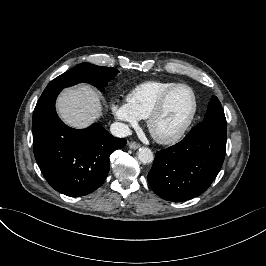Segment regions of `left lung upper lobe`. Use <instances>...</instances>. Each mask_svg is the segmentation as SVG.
<instances>
[{
  "label": "left lung upper lobe",
  "mask_w": 266,
  "mask_h": 266,
  "mask_svg": "<svg viewBox=\"0 0 266 266\" xmlns=\"http://www.w3.org/2000/svg\"><path fill=\"white\" fill-rule=\"evenodd\" d=\"M226 125L222 105L216 96H212L204 121L193 127L191 131L196 129H209L226 133Z\"/></svg>",
  "instance_id": "obj_1"
}]
</instances>
